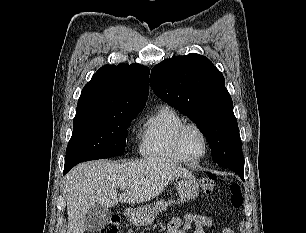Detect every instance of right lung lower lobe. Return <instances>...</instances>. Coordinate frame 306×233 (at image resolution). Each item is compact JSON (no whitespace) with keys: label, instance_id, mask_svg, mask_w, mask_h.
I'll list each match as a JSON object with an SVG mask.
<instances>
[{"label":"right lung lower lobe","instance_id":"98d812e1","mask_svg":"<svg viewBox=\"0 0 306 233\" xmlns=\"http://www.w3.org/2000/svg\"><path fill=\"white\" fill-rule=\"evenodd\" d=\"M71 168L64 167V173H67Z\"/></svg>","mask_w":306,"mask_h":233}]
</instances>
